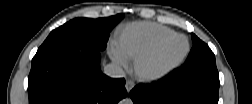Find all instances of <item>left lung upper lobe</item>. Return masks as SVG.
Instances as JSON below:
<instances>
[{"instance_id": "5c2ea615", "label": "left lung upper lobe", "mask_w": 252, "mask_h": 104, "mask_svg": "<svg viewBox=\"0 0 252 104\" xmlns=\"http://www.w3.org/2000/svg\"><path fill=\"white\" fill-rule=\"evenodd\" d=\"M191 37L193 47L183 66L216 65L215 55L209 46L200 40L195 34H192Z\"/></svg>"}]
</instances>
